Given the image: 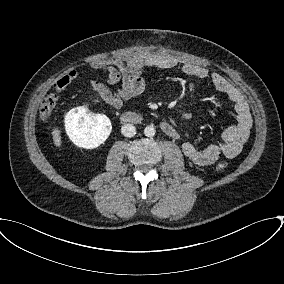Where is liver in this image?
I'll use <instances>...</instances> for the list:
<instances>
[{"mask_svg": "<svg viewBox=\"0 0 284 284\" xmlns=\"http://www.w3.org/2000/svg\"><path fill=\"white\" fill-rule=\"evenodd\" d=\"M52 136H53V142H54V145L56 147H60L61 146V143H62V137H61V132L58 128H55L53 131H52Z\"/></svg>", "mask_w": 284, "mask_h": 284, "instance_id": "6515ba94", "label": "liver"}]
</instances>
